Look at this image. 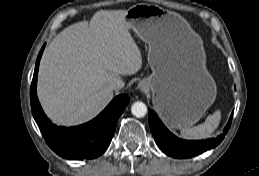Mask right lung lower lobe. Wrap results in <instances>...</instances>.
Returning <instances> with one entry per match:
<instances>
[{"instance_id": "right-lung-lower-lobe-1", "label": "right lung lower lobe", "mask_w": 259, "mask_h": 176, "mask_svg": "<svg viewBox=\"0 0 259 176\" xmlns=\"http://www.w3.org/2000/svg\"><path fill=\"white\" fill-rule=\"evenodd\" d=\"M44 47L45 44L37 57L30 90L34 119L46 143L59 156L72 160L96 158L109 146L118 118L129 103V97L126 94L117 96L96 118L86 124L69 128L53 124L43 112L36 93L39 62Z\"/></svg>"}]
</instances>
